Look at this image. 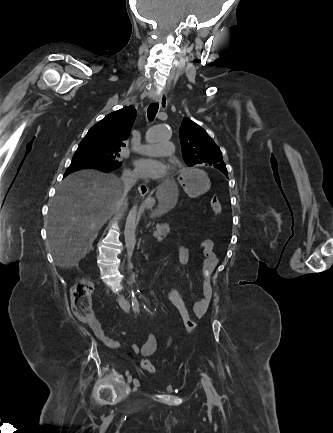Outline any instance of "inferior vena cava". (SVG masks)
<instances>
[{
	"label": "inferior vena cava",
	"mask_w": 333,
	"mask_h": 433,
	"mask_svg": "<svg viewBox=\"0 0 333 433\" xmlns=\"http://www.w3.org/2000/svg\"><path fill=\"white\" fill-rule=\"evenodd\" d=\"M121 182L123 184V195H122V200H121L120 204L123 203V201L126 199L127 193L136 184L137 177L129 171H124L122 176H121ZM123 309L126 313L130 312V307L128 305L124 306Z\"/></svg>",
	"instance_id": "inferior-vena-cava-1"
}]
</instances>
